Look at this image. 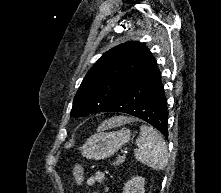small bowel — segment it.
Instances as JSON below:
<instances>
[{
  "label": "small bowel",
  "mask_w": 221,
  "mask_h": 193,
  "mask_svg": "<svg viewBox=\"0 0 221 193\" xmlns=\"http://www.w3.org/2000/svg\"><path fill=\"white\" fill-rule=\"evenodd\" d=\"M107 182V176L102 171H97L94 174H92L90 177H88L86 184L90 187L105 184ZM101 193V192H97Z\"/></svg>",
  "instance_id": "c3829d8e"
}]
</instances>
